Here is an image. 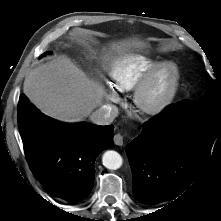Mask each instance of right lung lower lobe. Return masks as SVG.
I'll list each match as a JSON object with an SVG mask.
<instances>
[{
    "label": "right lung lower lobe",
    "instance_id": "obj_1",
    "mask_svg": "<svg viewBox=\"0 0 221 221\" xmlns=\"http://www.w3.org/2000/svg\"><path fill=\"white\" fill-rule=\"evenodd\" d=\"M18 127L32 173L54 196L74 203L85 198L94 183V162L113 145L114 126L66 124L41 113L22 94Z\"/></svg>",
    "mask_w": 221,
    "mask_h": 221
}]
</instances>
